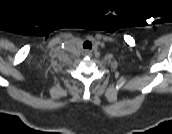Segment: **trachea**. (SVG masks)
I'll list each match as a JSON object with an SVG mask.
<instances>
[{
	"mask_svg": "<svg viewBox=\"0 0 172 134\" xmlns=\"http://www.w3.org/2000/svg\"><path fill=\"white\" fill-rule=\"evenodd\" d=\"M83 48L91 50L92 49V43L90 41H85L83 43Z\"/></svg>",
	"mask_w": 172,
	"mask_h": 134,
	"instance_id": "trachea-1",
	"label": "trachea"
}]
</instances>
